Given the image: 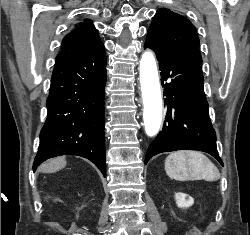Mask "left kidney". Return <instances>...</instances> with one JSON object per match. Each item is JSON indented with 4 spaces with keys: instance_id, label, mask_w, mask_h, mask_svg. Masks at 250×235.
I'll use <instances>...</instances> for the list:
<instances>
[{
    "instance_id": "obj_1",
    "label": "left kidney",
    "mask_w": 250,
    "mask_h": 235,
    "mask_svg": "<svg viewBox=\"0 0 250 235\" xmlns=\"http://www.w3.org/2000/svg\"><path fill=\"white\" fill-rule=\"evenodd\" d=\"M176 204L180 208H188L194 204V199L185 193L178 192L175 194Z\"/></svg>"
}]
</instances>
